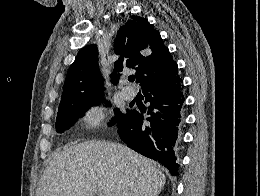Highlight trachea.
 Segmentation results:
<instances>
[{
  "mask_svg": "<svg viewBox=\"0 0 260 196\" xmlns=\"http://www.w3.org/2000/svg\"><path fill=\"white\" fill-rule=\"evenodd\" d=\"M128 81H135V75H130L128 77Z\"/></svg>",
  "mask_w": 260,
  "mask_h": 196,
  "instance_id": "trachea-1",
  "label": "trachea"
}]
</instances>
